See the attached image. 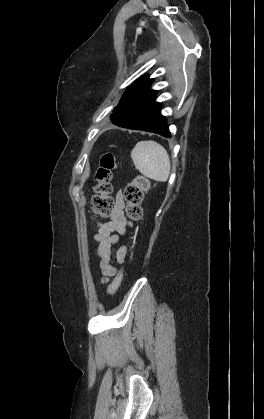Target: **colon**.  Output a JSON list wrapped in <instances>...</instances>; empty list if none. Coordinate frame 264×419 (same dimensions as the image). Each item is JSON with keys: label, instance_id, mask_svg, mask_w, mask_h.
Wrapping results in <instances>:
<instances>
[{"label": "colon", "instance_id": "1", "mask_svg": "<svg viewBox=\"0 0 264 419\" xmlns=\"http://www.w3.org/2000/svg\"><path fill=\"white\" fill-rule=\"evenodd\" d=\"M116 168V159L111 153H105L95 173L94 196L92 198V210L95 214L106 217L111 214L114 208V201L111 197L113 191L112 175ZM150 181L144 176H137L124 189L126 201V214L134 221L142 217L141 203L144 193L150 188ZM123 277L122 270L115 276L109 286V294L113 295L119 288Z\"/></svg>", "mask_w": 264, "mask_h": 419}]
</instances>
